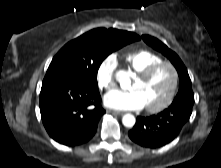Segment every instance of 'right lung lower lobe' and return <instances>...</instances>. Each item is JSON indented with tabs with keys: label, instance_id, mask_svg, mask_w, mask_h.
Here are the masks:
<instances>
[{
	"label": "right lung lower lobe",
	"instance_id": "1",
	"mask_svg": "<svg viewBox=\"0 0 221 168\" xmlns=\"http://www.w3.org/2000/svg\"><path fill=\"white\" fill-rule=\"evenodd\" d=\"M100 102L98 86L76 77L45 76L39 99L43 125L61 144H83L94 136L105 113Z\"/></svg>",
	"mask_w": 221,
	"mask_h": 168
}]
</instances>
